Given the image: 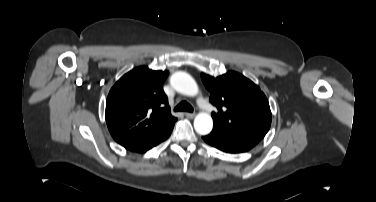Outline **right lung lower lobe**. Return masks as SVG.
I'll list each match as a JSON object with an SVG mask.
<instances>
[{
  "label": "right lung lower lobe",
  "instance_id": "obj_1",
  "mask_svg": "<svg viewBox=\"0 0 376 202\" xmlns=\"http://www.w3.org/2000/svg\"><path fill=\"white\" fill-rule=\"evenodd\" d=\"M174 123L167 130L163 131L157 137H155L152 141L145 143L143 145L134 147V148L129 149V150L139 152V153H144L147 150L151 149L152 147L158 145L159 143L166 140L170 136L172 129H173V126H174Z\"/></svg>",
  "mask_w": 376,
  "mask_h": 202
}]
</instances>
